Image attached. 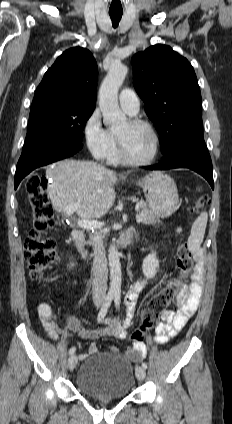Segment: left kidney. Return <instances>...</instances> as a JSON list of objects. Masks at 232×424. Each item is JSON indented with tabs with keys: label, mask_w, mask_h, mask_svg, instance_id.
I'll use <instances>...</instances> for the list:
<instances>
[{
	"label": "left kidney",
	"mask_w": 232,
	"mask_h": 424,
	"mask_svg": "<svg viewBox=\"0 0 232 424\" xmlns=\"http://www.w3.org/2000/svg\"><path fill=\"white\" fill-rule=\"evenodd\" d=\"M159 268V261L156 257V253L152 252L147 257L144 258L143 264H142V270L143 274L146 278L151 279L153 278Z\"/></svg>",
	"instance_id": "1"
}]
</instances>
